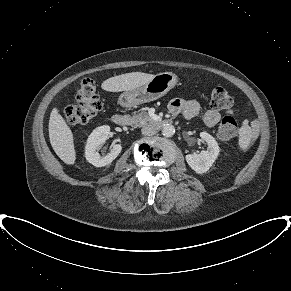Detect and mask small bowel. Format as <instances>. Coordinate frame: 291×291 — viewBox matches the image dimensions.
I'll return each mask as SVG.
<instances>
[{
	"label": "small bowel",
	"mask_w": 291,
	"mask_h": 291,
	"mask_svg": "<svg viewBox=\"0 0 291 291\" xmlns=\"http://www.w3.org/2000/svg\"><path fill=\"white\" fill-rule=\"evenodd\" d=\"M169 109L172 113H182L185 119L190 120L200 113L201 106L196 100L173 99L169 103ZM230 112L229 110L228 113ZM203 119L205 124L212 128L219 123L221 114L215 110H207L204 113ZM252 128L253 134H256L257 126L254 125Z\"/></svg>",
	"instance_id": "small-bowel-1"
}]
</instances>
